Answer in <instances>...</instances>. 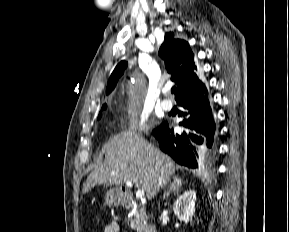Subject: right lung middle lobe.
Segmentation results:
<instances>
[{"label": "right lung middle lobe", "mask_w": 289, "mask_h": 232, "mask_svg": "<svg viewBox=\"0 0 289 232\" xmlns=\"http://www.w3.org/2000/svg\"><path fill=\"white\" fill-rule=\"evenodd\" d=\"M106 108V105L103 106V109ZM101 117V112L99 113V118Z\"/></svg>", "instance_id": "right-lung-middle-lobe-1"}]
</instances>
